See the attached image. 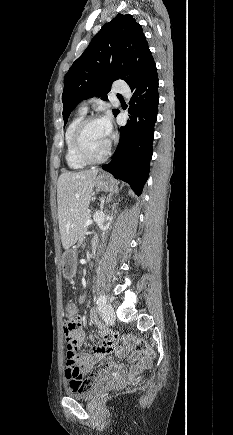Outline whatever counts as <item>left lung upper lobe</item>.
I'll return each mask as SVG.
<instances>
[{"label":"left lung upper lobe","mask_w":233,"mask_h":435,"mask_svg":"<svg viewBox=\"0 0 233 435\" xmlns=\"http://www.w3.org/2000/svg\"><path fill=\"white\" fill-rule=\"evenodd\" d=\"M153 63L141 25L130 14H118L103 25L65 75L64 125L80 101L107 93L118 79L133 85ZM118 112L113 110L115 116Z\"/></svg>","instance_id":"5c2ea615"}]
</instances>
